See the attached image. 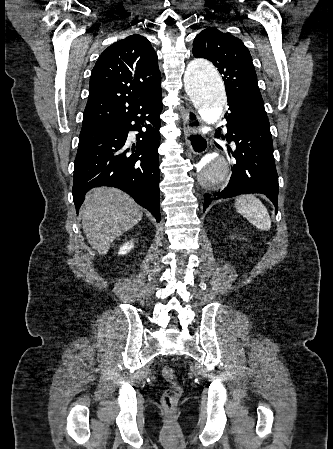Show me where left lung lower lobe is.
Wrapping results in <instances>:
<instances>
[{
  "label": "left lung lower lobe",
  "instance_id": "obj_1",
  "mask_svg": "<svg viewBox=\"0 0 333 449\" xmlns=\"http://www.w3.org/2000/svg\"><path fill=\"white\" fill-rule=\"evenodd\" d=\"M229 106L226 138L236 145L235 151H231L233 172L225 189L204 195L203 211L212 200L262 193L273 202L277 212L278 175L269 121L250 115L235 105Z\"/></svg>",
  "mask_w": 333,
  "mask_h": 449
}]
</instances>
